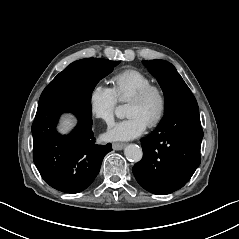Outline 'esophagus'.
Listing matches in <instances>:
<instances>
[{"instance_id":"34e87169","label":"esophagus","mask_w":239,"mask_h":239,"mask_svg":"<svg viewBox=\"0 0 239 239\" xmlns=\"http://www.w3.org/2000/svg\"><path fill=\"white\" fill-rule=\"evenodd\" d=\"M124 147H125L124 143H118V142L112 143V148L114 150H122Z\"/></svg>"}]
</instances>
